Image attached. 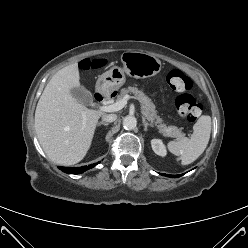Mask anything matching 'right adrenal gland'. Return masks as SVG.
<instances>
[{
  "instance_id": "1",
  "label": "right adrenal gland",
  "mask_w": 248,
  "mask_h": 248,
  "mask_svg": "<svg viewBox=\"0 0 248 248\" xmlns=\"http://www.w3.org/2000/svg\"><path fill=\"white\" fill-rule=\"evenodd\" d=\"M101 125L108 126L109 123L104 122V121H101V122H99V123L97 124L98 127L101 126Z\"/></svg>"
}]
</instances>
